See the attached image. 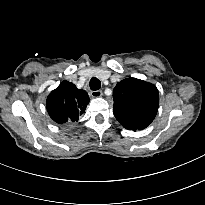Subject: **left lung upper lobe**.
Here are the masks:
<instances>
[{"instance_id":"5c2ea615","label":"left lung upper lobe","mask_w":205,"mask_h":205,"mask_svg":"<svg viewBox=\"0 0 205 205\" xmlns=\"http://www.w3.org/2000/svg\"><path fill=\"white\" fill-rule=\"evenodd\" d=\"M114 116L128 130L145 129L158 111L159 94L155 85L136 78L120 81L113 91Z\"/></svg>"}]
</instances>
